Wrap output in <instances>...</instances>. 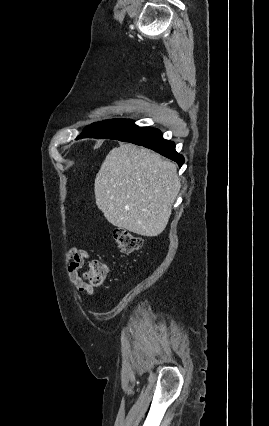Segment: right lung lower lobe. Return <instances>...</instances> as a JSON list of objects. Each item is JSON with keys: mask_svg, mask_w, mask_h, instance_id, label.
I'll use <instances>...</instances> for the list:
<instances>
[{"mask_svg": "<svg viewBox=\"0 0 269 426\" xmlns=\"http://www.w3.org/2000/svg\"><path fill=\"white\" fill-rule=\"evenodd\" d=\"M117 140L130 142L152 149L161 155L177 162L179 167H181L184 163V157L175 150V143L163 139L162 133L158 129L138 127L128 136Z\"/></svg>", "mask_w": 269, "mask_h": 426, "instance_id": "obj_1", "label": "right lung lower lobe"}]
</instances>
